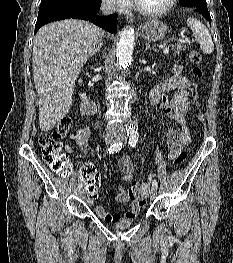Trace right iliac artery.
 <instances>
[{"label":"right iliac artery","mask_w":233,"mask_h":263,"mask_svg":"<svg viewBox=\"0 0 233 263\" xmlns=\"http://www.w3.org/2000/svg\"><path fill=\"white\" fill-rule=\"evenodd\" d=\"M123 147V144L121 142L119 143H114L113 145H111L108 150H107V153L109 154H113V153H117L118 151H120ZM83 187V184L82 183H79L78 184V189H82Z\"/></svg>","instance_id":"82829eb1"}]
</instances>
